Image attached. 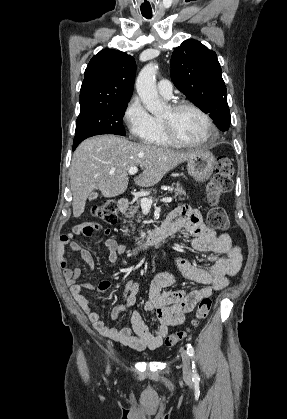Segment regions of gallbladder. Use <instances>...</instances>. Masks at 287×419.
Returning <instances> with one entry per match:
<instances>
[{"instance_id": "obj_1", "label": "gallbladder", "mask_w": 287, "mask_h": 419, "mask_svg": "<svg viewBox=\"0 0 287 419\" xmlns=\"http://www.w3.org/2000/svg\"><path fill=\"white\" fill-rule=\"evenodd\" d=\"M97 197H98V193H96V192H92V193L89 195L88 199H89V201H92V200L96 199Z\"/></svg>"}]
</instances>
